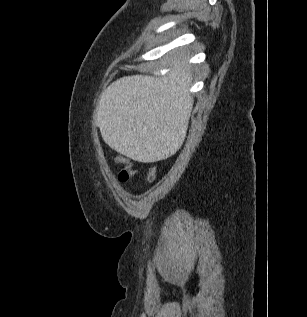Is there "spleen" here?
Masks as SVG:
<instances>
[{"instance_id":"3e777b00","label":"spleen","mask_w":307,"mask_h":317,"mask_svg":"<svg viewBox=\"0 0 307 317\" xmlns=\"http://www.w3.org/2000/svg\"><path fill=\"white\" fill-rule=\"evenodd\" d=\"M184 71L168 78L123 77L103 93L97 120L104 141L134 160H165L182 148L192 107Z\"/></svg>"}]
</instances>
